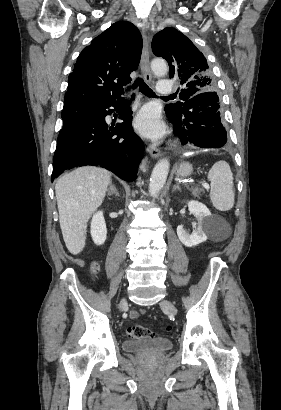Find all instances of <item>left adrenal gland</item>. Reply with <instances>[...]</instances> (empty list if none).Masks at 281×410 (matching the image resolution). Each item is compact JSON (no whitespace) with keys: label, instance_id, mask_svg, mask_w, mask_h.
<instances>
[{"label":"left adrenal gland","instance_id":"left-adrenal-gland-1","mask_svg":"<svg viewBox=\"0 0 281 410\" xmlns=\"http://www.w3.org/2000/svg\"><path fill=\"white\" fill-rule=\"evenodd\" d=\"M176 190L181 191V188H180V186H179L178 183H176V184L173 186V188H172V193L175 192Z\"/></svg>","mask_w":281,"mask_h":410}]
</instances>
